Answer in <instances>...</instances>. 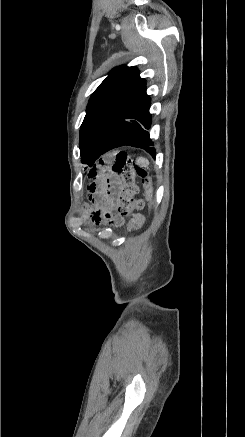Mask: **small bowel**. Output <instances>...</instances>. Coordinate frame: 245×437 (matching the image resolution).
Masks as SVG:
<instances>
[{
    "label": "small bowel",
    "instance_id": "c3829d8e",
    "mask_svg": "<svg viewBox=\"0 0 245 437\" xmlns=\"http://www.w3.org/2000/svg\"><path fill=\"white\" fill-rule=\"evenodd\" d=\"M113 160L110 154H103L97 166H91L88 173L89 180H105L106 176L109 175L113 167ZM119 183L113 181L108 185V189L105 193V206L108 211H105V218L113 225H119L122 222V218L117 215H113L111 210H113L117 205V195L119 192ZM88 190L91 193L100 192V183H95L94 181L89 183ZM143 223V217L141 215H135L131 221L132 226H140Z\"/></svg>",
    "mask_w": 245,
    "mask_h": 437
}]
</instances>
